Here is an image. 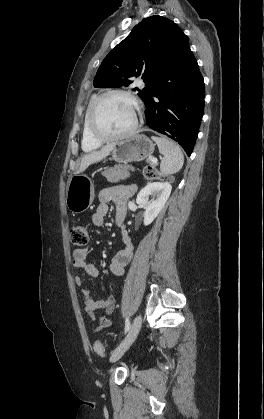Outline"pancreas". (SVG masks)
Instances as JSON below:
<instances>
[{"label": "pancreas", "mask_w": 264, "mask_h": 419, "mask_svg": "<svg viewBox=\"0 0 264 419\" xmlns=\"http://www.w3.org/2000/svg\"><path fill=\"white\" fill-rule=\"evenodd\" d=\"M148 162L155 166V163L148 159ZM129 170H134L130 166L115 165L114 167L108 168L102 172V175L107 179L108 182L117 183L120 180H125L130 176Z\"/></svg>", "instance_id": "obj_1"}]
</instances>
